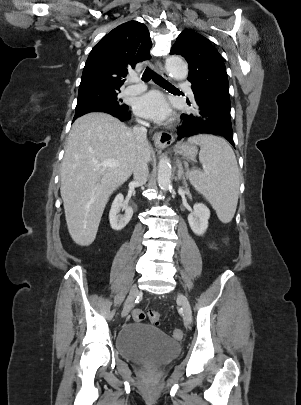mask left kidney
I'll return each mask as SVG.
<instances>
[{"label": "left kidney", "instance_id": "left-kidney-1", "mask_svg": "<svg viewBox=\"0 0 301 405\" xmlns=\"http://www.w3.org/2000/svg\"><path fill=\"white\" fill-rule=\"evenodd\" d=\"M210 218V210L202 203H197L193 206V212L188 215V222L192 231L202 236L208 228V220Z\"/></svg>", "mask_w": 301, "mask_h": 405}]
</instances>
